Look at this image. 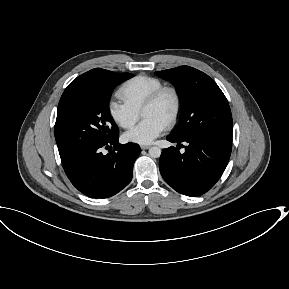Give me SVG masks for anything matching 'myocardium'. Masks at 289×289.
Masks as SVG:
<instances>
[{
	"mask_svg": "<svg viewBox=\"0 0 289 289\" xmlns=\"http://www.w3.org/2000/svg\"><path fill=\"white\" fill-rule=\"evenodd\" d=\"M166 93H170L174 99V107H173L172 113L168 121L166 122V127L171 128L176 124L179 118L180 112H181V108H182L181 94L176 87L161 86L160 88L155 90L153 93L149 95V97L143 103L142 108H141V113L144 109L155 105L161 99V97Z\"/></svg>",
	"mask_w": 289,
	"mask_h": 289,
	"instance_id": "obj_1",
	"label": "myocardium"
}]
</instances>
